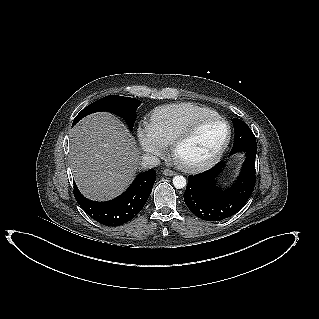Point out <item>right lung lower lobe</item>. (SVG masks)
<instances>
[{"label":"right lung lower lobe","instance_id":"right-lung-lower-lobe-1","mask_svg":"<svg viewBox=\"0 0 319 319\" xmlns=\"http://www.w3.org/2000/svg\"><path fill=\"white\" fill-rule=\"evenodd\" d=\"M156 180L154 169L140 173L120 196L107 202L86 199L74 183V196L80 207L97 222L116 227L132 220L143 208Z\"/></svg>","mask_w":319,"mask_h":319}]
</instances>
